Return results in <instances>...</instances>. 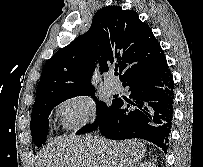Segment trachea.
<instances>
[{"label": "trachea", "mask_w": 203, "mask_h": 167, "mask_svg": "<svg viewBox=\"0 0 203 167\" xmlns=\"http://www.w3.org/2000/svg\"><path fill=\"white\" fill-rule=\"evenodd\" d=\"M114 75L117 76V75H118V72H115Z\"/></svg>", "instance_id": "trachea-1"}]
</instances>
